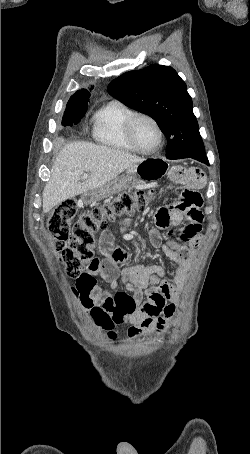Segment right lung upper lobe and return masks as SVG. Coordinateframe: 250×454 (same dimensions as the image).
<instances>
[{
  "mask_svg": "<svg viewBox=\"0 0 250 454\" xmlns=\"http://www.w3.org/2000/svg\"><path fill=\"white\" fill-rule=\"evenodd\" d=\"M89 97L90 93L88 90H78L74 95L71 96L67 105L89 102Z\"/></svg>",
  "mask_w": 250,
  "mask_h": 454,
  "instance_id": "right-lung-upper-lobe-1",
  "label": "right lung upper lobe"
}]
</instances>
